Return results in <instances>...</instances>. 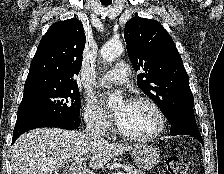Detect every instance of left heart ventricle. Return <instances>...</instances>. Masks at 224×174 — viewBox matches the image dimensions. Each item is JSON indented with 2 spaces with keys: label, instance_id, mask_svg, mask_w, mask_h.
Wrapping results in <instances>:
<instances>
[{
  "label": "left heart ventricle",
  "instance_id": "b2bd125f",
  "mask_svg": "<svg viewBox=\"0 0 224 174\" xmlns=\"http://www.w3.org/2000/svg\"><path fill=\"white\" fill-rule=\"evenodd\" d=\"M117 110L122 112L118 126L128 134L144 135L157 127V116L147 104L122 103Z\"/></svg>",
  "mask_w": 224,
  "mask_h": 174
}]
</instances>
